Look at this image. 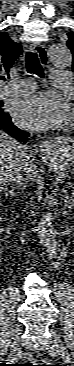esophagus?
Instances as JSON below:
<instances>
[{"label":"esophagus","mask_w":74,"mask_h":366,"mask_svg":"<svg viewBox=\"0 0 74 366\" xmlns=\"http://www.w3.org/2000/svg\"><path fill=\"white\" fill-rule=\"evenodd\" d=\"M31 51L35 52L37 56L39 57L40 62L43 65H46L48 63V54L44 46L40 44H36L30 47ZM49 148L46 144L41 145V152L43 155H46Z\"/></svg>","instance_id":"esophagus-1"}]
</instances>
